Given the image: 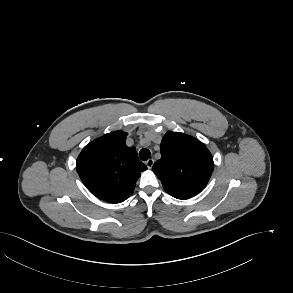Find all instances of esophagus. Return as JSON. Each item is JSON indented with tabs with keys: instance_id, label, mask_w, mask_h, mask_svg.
I'll return each mask as SVG.
<instances>
[{
	"instance_id": "esophagus-1",
	"label": "esophagus",
	"mask_w": 293,
	"mask_h": 293,
	"mask_svg": "<svg viewBox=\"0 0 293 293\" xmlns=\"http://www.w3.org/2000/svg\"><path fill=\"white\" fill-rule=\"evenodd\" d=\"M153 164H154V160L152 158H150L146 161V165L149 169L152 168Z\"/></svg>"
}]
</instances>
